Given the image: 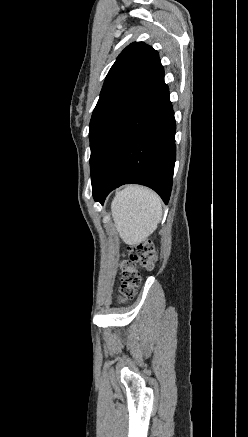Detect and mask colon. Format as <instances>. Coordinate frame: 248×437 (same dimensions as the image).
I'll return each instance as SVG.
<instances>
[{"mask_svg": "<svg viewBox=\"0 0 248 437\" xmlns=\"http://www.w3.org/2000/svg\"><path fill=\"white\" fill-rule=\"evenodd\" d=\"M157 255L153 244L148 240L137 242L128 250V257L122 262L121 284L119 289V301L132 298L136 288L140 284L141 277L137 265L152 268Z\"/></svg>", "mask_w": 248, "mask_h": 437, "instance_id": "5ec220e1", "label": "colon"}]
</instances>
